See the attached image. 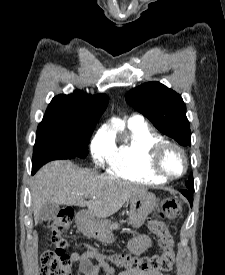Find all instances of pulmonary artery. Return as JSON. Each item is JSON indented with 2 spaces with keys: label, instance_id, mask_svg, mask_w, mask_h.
I'll use <instances>...</instances> for the list:
<instances>
[{
  "label": "pulmonary artery",
  "instance_id": "1",
  "mask_svg": "<svg viewBox=\"0 0 225 275\" xmlns=\"http://www.w3.org/2000/svg\"><path fill=\"white\" fill-rule=\"evenodd\" d=\"M129 124H140L144 123V118L141 115H132L128 119Z\"/></svg>",
  "mask_w": 225,
  "mask_h": 275
}]
</instances>
